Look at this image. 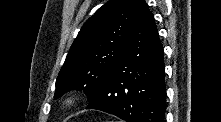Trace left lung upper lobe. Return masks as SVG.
I'll return each instance as SVG.
<instances>
[{
	"label": "left lung upper lobe",
	"mask_w": 221,
	"mask_h": 122,
	"mask_svg": "<svg viewBox=\"0 0 221 122\" xmlns=\"http://www.w3.org/2000/svg\"><path fill=\"white\" fill-rule=\"evenodd\" d=\"M141 0H110L81 28L56 80L54 98L84 89L91 102L117 63L135 24Z\"/></svg>",
	"instance_id": "obj_1"
}]
</instances>
